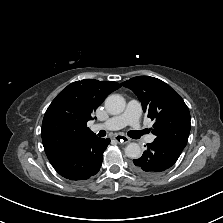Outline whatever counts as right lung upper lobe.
<instances>
[{"label":"right lung upper lobe","mask_w":223,"mask_h":223,"mask_svg":"<svg viewBox=\"0 0 223 223\" xmlns=\"http://www.w3.org/2000/svg\"><path fill=\"white\" fill-rule=\"evenodd\" d=\"M116 82L85 79L64 88L45 112L42 142L48 158L78 147L96 136L87 122L111 92L120 88Z\"/></svg>","instance_id":"cb5924a9"}]
</instances>
